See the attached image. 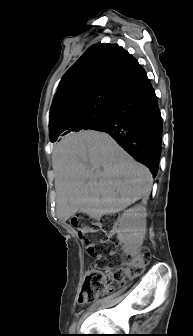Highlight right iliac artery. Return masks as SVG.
Instances as JSON below:
<instances>
[{
    "mask_svg": "<svg viewBox=\"0 0 193 336\" xmlns=\"http://www.w3.org/2000/svg\"><path fill=\"white\" fill-rule=\"evenodd\" d=\"M75 327H76V323L74 322L71 327H70V332H74L75 331Z\"/></svg>",
    "mask_w": 193,
    "mask_h": 336,
    "instance_id": "82829eb1",
    "label": "right iliac artery"
}]
</instances>
